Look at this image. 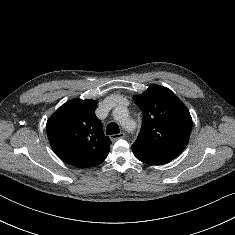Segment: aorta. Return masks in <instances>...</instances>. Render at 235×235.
Here are the masks:
<instances>
[{"label": "aorta", "instance_id": "aorta-1", "mask_svg": "<svg viewBox=\"0 0 235 235\" xmlns=\"http://www.w3.org/2000/svg\"><path fill=\"white\" fill-rule=\"evenodd\" d=\"M114 119L122 124L125 128H129V117H128V110L125 107H117L113 110Z\"/></svg>", "mask_w": 235, "mask_h": 235}]
</instances>
